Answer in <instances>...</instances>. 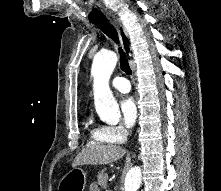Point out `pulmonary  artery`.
Listing matches in <instances>:
<instances>
[{
    "mask_svg": "<svg viewBox=\"0 0 221 191\" xmlns=\"http://www.w3.org/2000/svg\"><path fill=\"white\" fill-rule=\"evenodd\" d=\"M111 86L122 93L130 91L131 88L129 81L124 77L114 78L111 82Z\"/></svg>",
    "mask_w": 221,
    "mask_h": 191,
    "instance_id": "1",
    "label": "pulmonary artery"
}]
</instances>
